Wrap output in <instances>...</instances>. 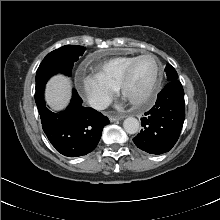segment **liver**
Listing matches in <instances>:
<instances>
[{
	"label": "liver",
	"mask_w": 220,
	"mask_h": 220,
	"mask_svg": "<svg viewBox=\"0 0 220 220\" xmlns=\"http://www.w3.org/2000/svg\"><path fill=\"white\" fill-rule=\"evenodd\" d=\"M71 80L63 75L52 77L46 85L45 97L49 106L61 110L71 98Z\"/></svg>",
	"instance_id": "6515ba94"
}]
</instances>
